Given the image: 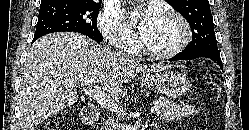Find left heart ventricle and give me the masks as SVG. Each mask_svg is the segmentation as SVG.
<instances>
[{"mask_svg":"<svg viewBox=\"0 0 249 130\" xmlns=\"http://www.w3.org/2000/svg\"><path fill=\"white\" fill-rule=\"evenodd\" d=\"M181 35L182 28L178 21L160 15L143 41L153 51H165L173 47L179 41Z\"/></svg>","mask_w":249,"mask_h":130,"instance_id":"obj_1","label":"left heart ventricle"}]
</instances>
